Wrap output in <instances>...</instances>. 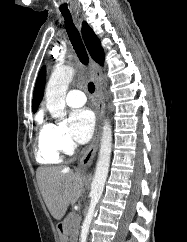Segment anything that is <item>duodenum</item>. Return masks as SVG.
I'll use <instances>...</instances> for the list:
<instances>
[{
	"label": "duodenum",
	"instance_id": "obj_1",
	"mask_svg": "<svg viewBox=\"0 0 187 242\" xmlns=\"http://www.w3.org/2000/svg\"><path fill=\"white\" fill-rule=\"evenodd\" d=\"M59 232L62 234V227H61V225L59 226Z\"/></svg>",
	"mask_w": 187,
	"mask_h": 242
}]
</instances>
